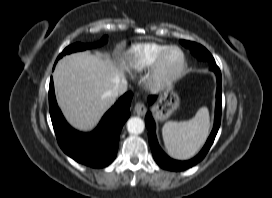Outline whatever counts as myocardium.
<instances>
[{
    "label": "myocardium",
    "mask_w": 272,
    "mask_h": 198,
    "mask_svg": "<svg viewBox=\"0 0 272 198\" xmlns=\"http://www.w3.org/2000/svg\"><path fill=\"white\" fill-rule=\"evenodd\" d=\"M173 50H178L182 56V62L180 67L173 73H167L165 71L164 65L167 56ZM187 68V58L184 50L178 46H169L162 54L158 57L154 65L152 66L149 76L148 82L154 88H165L176 83L184 74Z\"/></svg>",
    "instance_id": "1"
}]
</instances>
